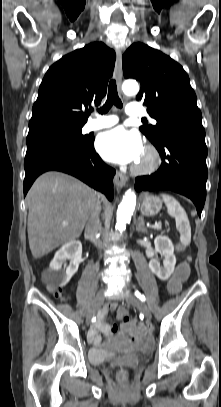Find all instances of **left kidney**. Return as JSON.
Returning a JSON list of instances; mask_svg holds the SVG:
<instances>
[{
  "label": "left kidney",
  "instance_id": "left-kidney-1",
  "mask_svg": "<svg viewBox=\"0 0 221 407\" xmlns=\"http://www.w3.org/2000/svg\"><path fill=\"white\" fill-rule=\"evenodd\" d=\"M154 243L155 251L161 253L164 257L163 266H160L157 259H152L149 262V268L160 280L166 281L174 272L176 264L174 246L167 236H157Z\"/></svg>",
  "mask_w": 221,
  "mask_h": 407
}]
</instances>
